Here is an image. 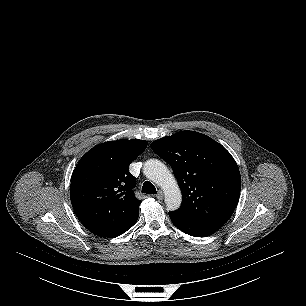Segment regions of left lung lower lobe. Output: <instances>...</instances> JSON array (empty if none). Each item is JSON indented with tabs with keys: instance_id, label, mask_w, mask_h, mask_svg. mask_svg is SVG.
Returning <instances> with one entry per match:
<instances>
[{
	"instance_id": "left-lung-lower-lobe-1",
	"label": "left lung lower lobe",
	"mask_w": 306,
	"mask_h": 306,
	"mask_svg": "<svg viewBox=\"0 0 306 306\" xmlns=\"http://www.w3.org/2000/svg\"><path fill=\"white\" fill-rule=\"evenodd\" d=\"M172 223L184 233L194 237H205L215 233L220 226L210 224H200L187 220L175 212H169Z\"/></svg>"
}]
</instances>
